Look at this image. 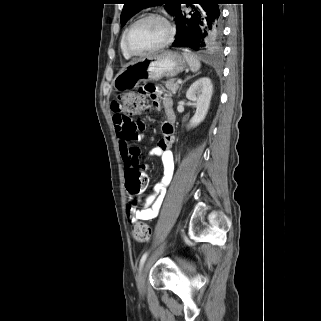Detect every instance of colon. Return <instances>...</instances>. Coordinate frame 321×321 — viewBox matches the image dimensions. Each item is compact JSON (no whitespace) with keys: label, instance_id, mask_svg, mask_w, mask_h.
<instances>
[{"label":"colon","instance_id":"1","mask_svg":"<svg viewBox=\"0 0 321 321\" xmlns=\"http://www.w3.org/2000/svg\"><path fill=\"white\" fill-rule=\"evenodd\" d=\"M118 111L124 118L141 114L148 110V98H142L137 93H126L119 97ZM143 165L139 159H133L127 165L125 173L126 188L132 195L142 193L148 183V178L143 172ZM152 230L149 225L143 222L136 223L132 228L133 238L141 243L148 242L151 238Z\"/></svg>","mask_w":321,"mask_h":321}]
</instances>
